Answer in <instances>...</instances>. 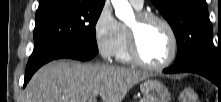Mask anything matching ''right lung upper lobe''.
<instances>
[{"mask_svg": "<svg viewBox=\"0 0 221 102\" xmlns=\"http://www.w3.org/2000/svg\"><path fill=\"white\" fill-rule=\"evenodd\" d=\"M52 1H56V0H40L39 6L46 5ZM83 1H86L87 3L92 4V5H100V4H104L105 2L104 0H83Z\"/></svg>", "mask_w": 221, "mask_h": 102, "instance_id": "right-lung-upper-lobe-1", "label": "right lung upper lobe"}]
</instances>
